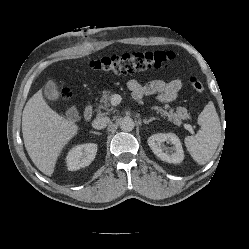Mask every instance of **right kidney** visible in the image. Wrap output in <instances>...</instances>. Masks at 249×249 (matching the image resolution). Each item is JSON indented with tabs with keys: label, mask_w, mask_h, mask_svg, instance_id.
I'll use <instances>...</instances> for the list:
<instances>
[{
	"label": "right kidney",
	"mask_w": 249,
	"mask_h": 249,
	"mask_svg": "<svg viewBox=\"0 0 249 249\" xmlns=\"http://www.w3.org/2000/svg\"><path fill=\"white\" fill-rule=\"evenodd\" d=\"M96 153L97 145L94 143L73 147L66 157L68 170L75 171L88 166L94 160Z\"/></svg>",
	"instance_id": "obj_1"
}]
</instances>
